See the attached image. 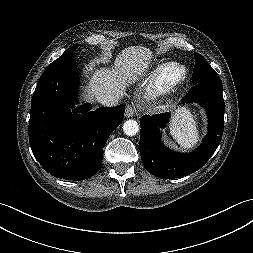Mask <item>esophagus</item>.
I'll use <instances>...</instances> for the list:
<instances>
[{
	"label": "esophagus",
	"mask_w": 253,
	"mask_h": 253,
	"mask_svg": "<svg viewBox=\"0 0 253 253\" xmlns=\"http://www.w3.org/2000/svg\"><path fill=\"white\" fill-rule=\"evenodd\" d=\"M134 116V107L132 105H128L125 110V117L130 118Z\"/></svg>",
	"instance_id": "34e87169"
}]
</instances>
